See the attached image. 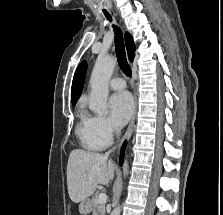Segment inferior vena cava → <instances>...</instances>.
<instances>
[{
    "instance_id": "inferior-vena-cava-1",
    "label": "inferior vena cava",
    "mask_w": 223,
    "mask_h": 215,
    "mask_svg": "<svg viewBox=\"0 0 223 215\" xmlns=\"http://www.w3.org/2000/svg\"><path fill=\"white\" fill-rule=\"evenodd\" d=\"M118 131H119V129H118ZM109 153H110V151H106L105 157H108Z\"/></svg>"
}]
</instances>
